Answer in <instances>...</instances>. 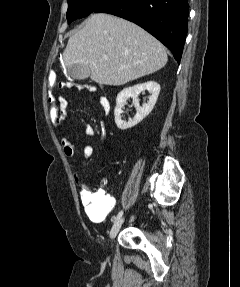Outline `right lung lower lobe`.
I'll return each mask as SVG.
<instances>
[{"label": "right lung lower lobe", "instance_id": "1", "mask_svg": "<svg viewBox=\"0 0 240 287\" xmlns=\"http://www.w3.org/2000/svg\"><path fill=\"white\" fill-rule=\"evenodd\" d=\"M188 0H107L95 13H109L151 33L180 63L188 31Z\"/></svg>", "mask_w": 240, "mask_h": 287}]
</instances>
